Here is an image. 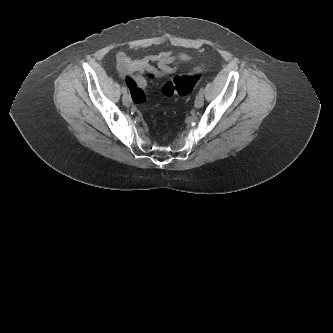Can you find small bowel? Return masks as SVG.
<instances>
[{"mask_svg":"<svg viewBox=\"0 0 333 333\" xmlns=\"http://www.w3.org/2000/svg\"><path fill=\"white\" fill-rule=\"evenodd\" d=\"M188 60V56L173 51H162L147 55L143 58L132 60L124 52L116 55V68L120 75L128 76L126 81L132 90V97L136 103L145 100V90L148 87V80L143 76L156 80L174 73L180 61Z\"/></svg>","mask_w":333,"mask_h":333,"instance_id":"1","label":"small bowel"}]
</instances>
